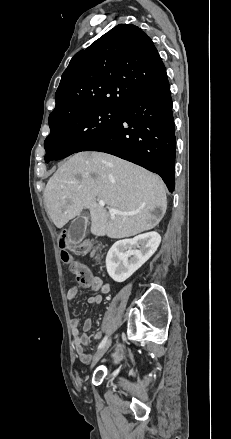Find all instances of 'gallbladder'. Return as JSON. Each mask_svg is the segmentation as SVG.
Segmentation results:
<instances>
[{"instance_id": "gallbladder-1", "label": "gallbladder", "mask_w": 231, "mask_h": 439, "mask_svg": "<svg viewBox=\"0 0 231 439\" xmlns=\"http://www.w3.org/2000/svg\"><path fill=\"white\" fill-rule=\"evenodd\" d=\"M87 224H88V217L83 215L78 216L72 221L68 230V235L72 243L84 239L86 235Z\"/></svg>"}]
</instances>
